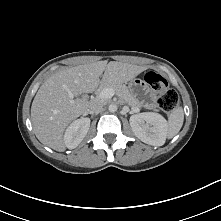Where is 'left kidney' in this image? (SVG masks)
<instances>
[{
  "mask_svg": "<svg viewBox=\"0 0 221 221\" xmlns=\"http://www.w3.org/2000/svg\"><path fill=\"white\" fill-rule=\"evenodd\" d=\"M131 129L142 142L152 146H162L167 136L166 119L154 112L132 115L129 119Z\"/></svg>",
  "mask_w": 221,
  "mask_h": 221,
  "instance_id": "1",
  "label": "left kidney"
}]
</instances>
